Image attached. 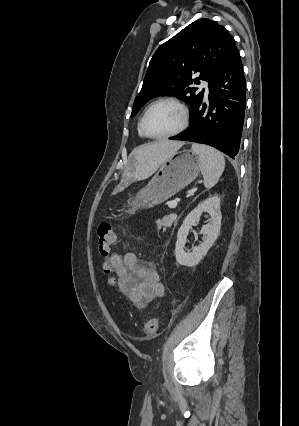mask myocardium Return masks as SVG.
<instances>
[{
    "label": "myocardium",
    "mask_w": 299,
    "mask_h": 426,
    "mask_svg": "<svg viewBox=\"0 0 299 426\" xmlns=\"http://www.w3.org/2000/svg\"><path fill=\"white\" fill-rule=\"evenodd\" d=\"M162 103H171V104H174L175 106H177L182 113V122H181L180 126L171 133H168V134H165V135H159V136L151 135L150 133H148V131L145 128L146 117L153 107H155L158 104H162ZM189 120H190V111H189L187 104L184 101H182L181 99L176 98V97H164V98H160V99L152 102L146 108V110H145V112H144V114H143V116L140 120L139 125H140V130L145 137L150 138V139H155V140H163V139H168V138H171V137H174V136L181 134L188 127Z\"/></svg>",
    "instance_id": "myocardium-1"
}]
</instances>
